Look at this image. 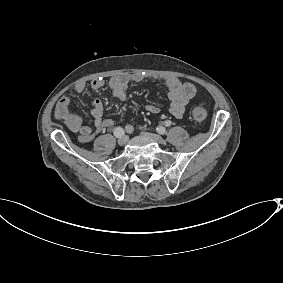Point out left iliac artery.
<instances>
[{
	"label": "left iliac artery",
	"instance_id": "left-iliac-artery-1",
	"mask_svg": "<svg viewBox=\"0 0 283 283\" xmlns=\"http://www.w3.org/2000/svg\"><path fill=\"white\" fill-rule=\"evenodd\" d=\"M164 124H165L166 127H169V126H171L172 122L170 120H166ZM157 132L160 133V134H164L166 132V130H165L164 127L160 126V127L157 128Z\"/></svg>",
	"mask_w": 283,
	"mask_h": 283
}]
</instances>
